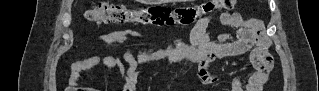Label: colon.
I'll use <instances>...</instances> for the list:
<instances>
[{
    "mask_svg": "<svg viewBox=\"0 0 319 91\" xmlns=\"http://www.w3.org/2000/svg\"><path fill=\"white\" fill-rule=\"evenodd\" d=\"M235 3L236 0H213L177 8L162 6L136 8L123 4L99 3L85 12V19L94 24L189 26L217 10L231 9ZM257 62L267 70L272 68L273 60L267 49L262 52Z\"/></svg>",
    "mask_w": 319,
    "mask_h": 91,
    "instance_id": "5ec220e1",
    "label": "colon"
}]
</instances>
